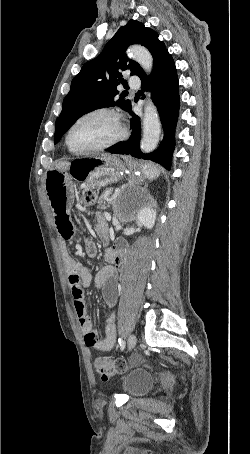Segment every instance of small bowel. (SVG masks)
Here are the masks:
<instances>
[{"instance_id": "small-bowel-1", "label": "small bowel", "mask_w": 250, "mask_h": 454, "mask_svg": "<svg viewBox=\"0 0 250 454\" xmlns=\"http://www.w3.org/2000/svg\"><path fill=\"white\" fill-rule=\"evenodd\" d=\"M46 193L54 212L55 225L63 239H71L74 235V226L71 222L69 210L77 193V183L70 174L53 171L47 175L45 183ZM96 232L103 242H107V227L105 220L100 217L96 224ZM85 252L93 257L97 253L96 244L85 240ZM63 259L68 273V282L74 299V309L79 326L84 335L85 343L96 350L110 351L116 340L115 314L112 312L106 322L105 336L100 339L92 327V322L87 314L84 300V289L92 282L88 268L75 261L65 249ZM125 245L118 241L105 252L107 265L95 276L94 284L101 290L103 299L108 308H112L117 300L118 271L123 267Z\"/></svg>"}]
</instances>
